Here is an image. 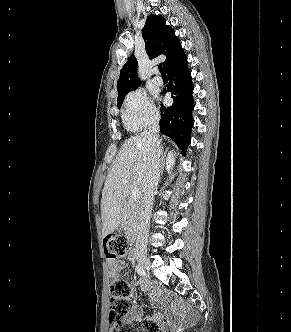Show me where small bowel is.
Here are the masks:
<instances>
[{"label":"small bowel","mask_w":291,"mask_h":332,"mask_svg":"<svg viewBox=\"0 0 291 332\" xmlns=\"http://www.w3.org/2000/svg\"><path fill=\"white\" fill-rule=\"evenodd\" d=\"M109 264H110L109 275H110L111 278L116 279L117 276L119 275V273L124 269V264H123L122 261H119V260H110ZM141 286L143 287V289H145V290L147 289V283H146L145 280L141 281ZM150 296H151V299L153 301H155L157 303L161 302V293H160L159 290L152 291ZM173 310H174L175 315L180 320H182L183 319V312H182L181 308L174 305ZM139 316H140L139 310H135L132 313L131 319H139ZM160 319H161L160 314H155L153 316V320H155L156 322L159 321Z\"/></svg>","instance_id":"1"}]
</instances>
